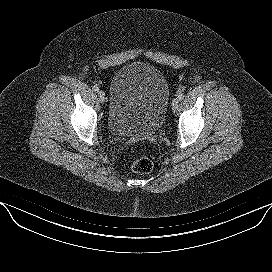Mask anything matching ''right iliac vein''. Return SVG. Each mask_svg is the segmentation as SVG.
I'll list each match as a JSON object with an SVG mask.
<instances>
[{"mask_svg": "<svg viewBox=\"0 0 272 272\" xmlns=\"http://www.w3.org/2000/svg\"><path fill=\"white\" fill-rule=\"evenodd\" d=\"M98 97H99V101H100L101 103H104V102H105L106 97H105V93H104L103 91H99V92H98Z\"/></svg>", "mask_w": 272, "mask_h": 272, "instance_id": "obj_1", "label": "right iliac vein"}]
</instances>
